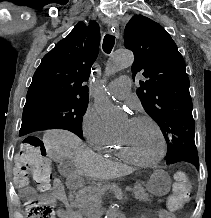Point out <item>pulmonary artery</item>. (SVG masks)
I'll return each mask as SVG.
<instances>
[{"mask_svg": "<svg viewBox=\"0 0 211 218\" xmlns=\"http://www.w3.org/2000/svg\"><path fill=\"white\" fill-rule=\"evenodd\" d=\"M129 79L128 76H121L115 81L111 82L109 85V92L118 98H124L130 92L131 80H122Z\"/></svg>", "mask_w": 211, "mask_h": 218, "instance_id": "e3ab8cb5", "label": "pulmonary artery"}]
</instances>
